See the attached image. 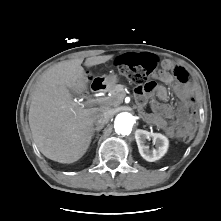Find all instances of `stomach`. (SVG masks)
I'll return each mask as SVG.
<instances>
[{
  "instance_id": "obj_1",
  "label": "stomach",
  "mask_w": 221,
  "mask_h": 221,
  "mask_svg": "<svg viewBox=\"0 0 221 221\" xmlns=\"http://www.w3.org/2000/svg\"><path fill=\"white\" fill-rule=\"evenodd\" d=\"M117 76L116 75H110L108 77L105 78V84L109 87V88H113L115 86V84L117 83Z\"/></svg>"
}]
</instances>
